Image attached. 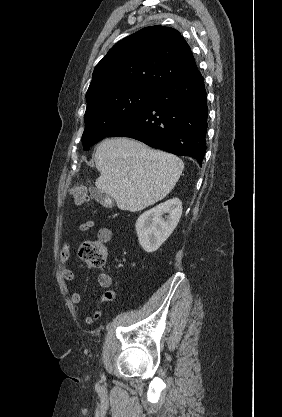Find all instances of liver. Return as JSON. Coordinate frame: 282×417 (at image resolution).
I'll list each match as a JSON object with an SVG mask.
<instances>
[{"mask_svg":"<svg viewBox=\"0 0 282 417\" xmlns=\"http://www.w3.org/2000/svg\"><path fill=\"white\" fill-rule=\"evenodd\" d=\"M96 186L113 196L121 211H142L169 194L182 174L184 162L175 154L152 150L127 136L105 138L94 158Z\"/></svg>","mask_w":282,"mask_h":417,"instance_id":"1","label":"liver"}]
</instances>
